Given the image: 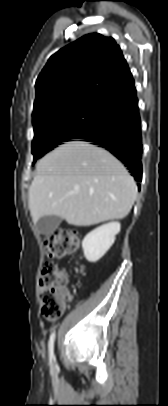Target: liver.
<instances>
[{"mask_svg":"<svg viewBox=\"0 0 168 406\" xmlns=\"http://www.w3.org/2000/svg\"><path fill=\"white\" fill-rule=\"evenodd\" d=\"M136 196L133 177L111 153L70 141L38 161L29 208L34 223L54 215L71 225L89 226L126 217Z\"/></svg>","mask_w":168,"mask_h":406,"instance_id":"liver-1","label":"liver"}]
</instances>
